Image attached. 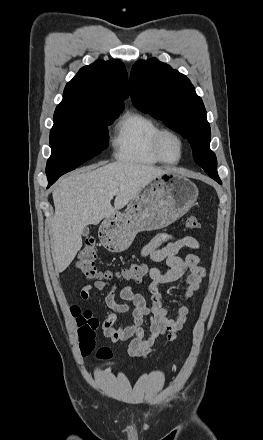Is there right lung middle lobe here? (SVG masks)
I'll return each mask as SVG.
<instances>
[{"label":"right lung middle lobe","instance_id":"obj_1","mask_svg":"<svg viewBox=\"0 0 263 440\" xmlns=\"http://www.w3.org/2000/svg\"><path fill=\"white\" fill-rule=\"evenodd\" d=\"M119 113H95L76 119L54 120L50 132L49 181L75 169L108 147V130Z\"/></svg>","mask_w":263,"mask_h":440}]
</instances>
